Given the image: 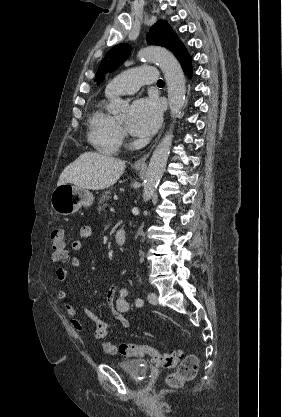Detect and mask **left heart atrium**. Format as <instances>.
<instances>
[{
    "label": "left heart atrium",
    "mask_w": 282,
    "mask_h": 417,
    "mask_svg": "<svg viewBox=\"0 0 282 417\" xmlns=\"http://www.w3.org/2000/svg\"><path fill=\"white\" fill-rule=\"evenodd\" d=\"M161 107L157 100L141 99L136 101L127 119L128 130L138 136L152 134L161 122Z\"/></svg>",
    "instance_id": "39dd6f15"
}]
</instances>
